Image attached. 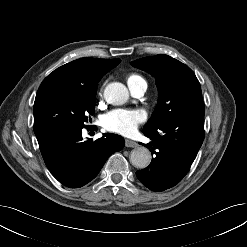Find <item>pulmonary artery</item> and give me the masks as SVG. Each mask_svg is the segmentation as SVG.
I'll use <instances>...</instances> for the list:
<instances>
[{
  "label": "pulmonary artery",
  "instance_id": "pulmonary-artery-1",
  "mask_svg": "<svg viewBox=\"0 0 247 247\" xmlns=\"http://www.w3.org/2000/svg\"><path fill=\"white\" fill-rule=\"evenodd\" d=\"M147 84L145 81L138 82L136 84H130L129 89L133 96L141 97L145 93Z\"/></svg>",
  "mask_w": 247,
  "mask_h": 247
}]
</instances>
